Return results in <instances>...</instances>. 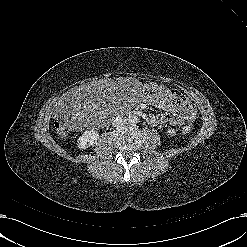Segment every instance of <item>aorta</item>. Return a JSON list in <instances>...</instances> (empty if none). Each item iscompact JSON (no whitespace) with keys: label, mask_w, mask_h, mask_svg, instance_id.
<instances>
[{"label":"aorta","mask_w":247,"mask_h":247,"mask_svg":"<svg viewBox=\"0 0 247 247\" xmlns=\"http://www.w3.org/2000/svg\"><path fill=\"white\" fill-rule=\"evenodd\" d=\"M128 122L131 124H137L138 123V117L137 116H129Z\"/></svg>","instance_id":"obj_1"}]
</instances>
